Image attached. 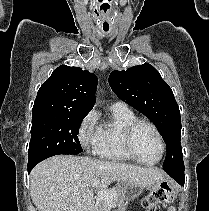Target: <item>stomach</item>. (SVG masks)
Segmentation results:
<instances>
[{
	"label": "stomach",
	"instance_id": "1",
	"mask_svg": "<svg viewBox=\"0 0 209 211\" xmlns=\"http://www.w3.org/2000/svg\"><path fill=\"white\" fill-rule=\"evenodd\" d=\"M143 188L134 182L120 184V190L125 200L136 199L142 193Z\"/></svg>",
	"mask_w": 209,
	"mask_h": 211
}]
</instances>
